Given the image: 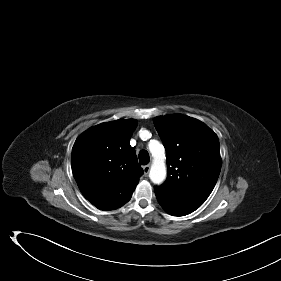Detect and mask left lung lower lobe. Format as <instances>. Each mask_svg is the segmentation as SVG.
I'll use <instances>...</instances> for the list:
<instances>
[{"instance_id":"obj_1","label":"left lung lower lobe","mask_w":281,"mask_h":281,"mask_svg":"<svg viewBox=\"0 0 281 281\" xmlns=\"http://www.w3.org/2000/svg\"><path fill=\"white\" fill-rule=\"evenodd\" d=\"M155 195L164 210L173 216L188 215L203 204L199 201L192 200L188 195L182 192H165L155 190Z\"/></svg>"}]
</instances>
